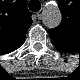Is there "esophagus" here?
<instances>
[{
    "instance_id": "34e87169",
    "label": "esophagus",
    "mask_w": 80,
    "mask_h": 80,
    "mask_svg": "<svg viewBox=\"0 0 80 80\" xmlns=\"http://www.w3.org/2000/svg\"><path fill=\"white\" fill-rule=\"evenodd\" d=\"M43 12H44V10H42V11H40V12L37 13L38 19H41L42 18Z\"/></svg>"
}]
</instances>
